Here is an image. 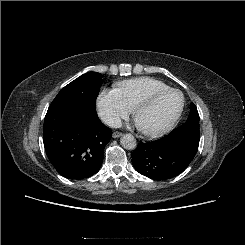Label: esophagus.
Returning a JSON list of instances; mask_svg holds the SVG:
<instances>
[{
  "instance_id": "1",
  "label": "esophagus",
  "mask_w": 245,
  "mask_h": 245,
  "mask_svg": "<svg viewBox=\"0 0 245 245\" xmlns=\"http://www.w3.org/2000/svg\"><path fill=\"white\" fill-rule=\"evenodd\" d=\"M112 136H113V138H119V137L122 136V133H120V132H114V133L112 134Z\"/></svg>"
}]
</instances>
